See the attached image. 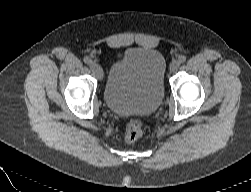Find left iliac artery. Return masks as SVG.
<instances>
[{
  "instance_id": "1",
  "label": "left iliac artery",
  "mask_w": 251,
  "mask_h": 192,
  "mask_svg": "<svg viewBox=\"0 0 251 192\" xmlns=\"http://www.w3.org/2000/svg\"><path fill=\"white\" fill-rule=\"evenodd\" d=\"M185 61H186V56H184V55L179 56V58H178L179 63H184Z\"/></svg>"
}]
</instances>
